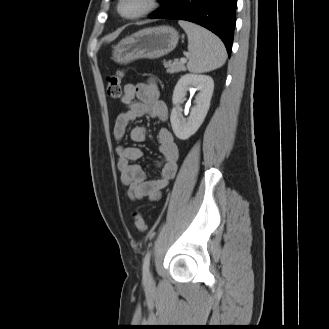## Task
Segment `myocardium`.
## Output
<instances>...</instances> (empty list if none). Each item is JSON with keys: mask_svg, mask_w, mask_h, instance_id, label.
Listing matches in <instances>:
<instances>
[{"mask_svg": "<svg viewBox=\"0 0 329 329\" xmlns=\"http://www.w3.org/2000/svg\"><path fill=\"white\" fill-rule=\"evenodd\" d=\"M125 1L126 0L118 1L117 12L119 13V15L121 17H123L125 19H130V20L138 19V18L148 15V14L152 13L158 6V0H143L144 5L139 11L132 13V14H125L122 12V9H121L122 5Z\"/></svg>", "mask_w": 329, "mask_h": 329, "instance_id": "1", "label": "myocardium"}]
</instances>
